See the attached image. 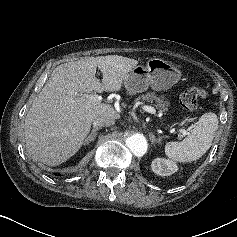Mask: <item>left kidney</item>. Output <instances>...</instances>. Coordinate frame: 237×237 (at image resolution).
I'll list each match as a JSON object with an SVG mask.
<instances>
[{
    "instance_id": "obj_1",
    "label": "left kidney",
    "mask_w": 237,
    "mask_h": 237,
    "mask_svg": "<svg viewBox=\"0 0 237 237\" xmlns=\"http://www.w3.org/2000/svg\"><path fill=\"white\" fill-rule=\"evenodd\" d=\"M151 168L154 173L160 176H169L178 170L175 162L164 158H156L152 161Z\"/></svg>"
}]
</instances>
